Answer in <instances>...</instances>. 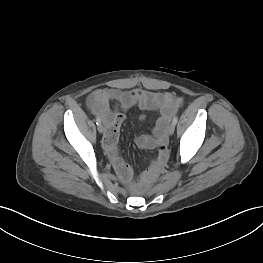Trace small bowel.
Listing matches in <instances>:
<instances>
[{"mask_svg": "<svg viewBox=\"0 0 263 263\" xmlns=\"http://www.w3.org/2000/svg\"><path fill=\"white\" fill-rule=\"evenodd\" d=\"M93 112L99 116L106 126L103 147L108 154L116 172L127 184L132 183V168L124 161L118 148L119 132L125 120V112L134 106L142 110L157 111L159 118L152 135H141L137 145L142 149L158 147V157L148 170L155 173L167 159L166 128L170 118L176 113L181 99L170 93H159L144 89L121 90L104 88L95 90L89 98ZM110 103L115 106L112 109ZM98 117V118H99Z\"/></svg>", "mask_w": 263, "mask_h": 263, "instance_id": "1", "label": "small bowel"}]
</instances>
